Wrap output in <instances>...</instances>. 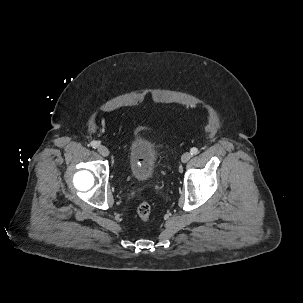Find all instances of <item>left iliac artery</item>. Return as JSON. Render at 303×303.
<instances>
[{
  "label": "left iliac artery",
  "mask_w": 303,
  "mask_h": 303,
  "mask_svg": "<svg viewBox=\"0 0 303 303\" xmlns=\"http://www.w3.org/2000/svg\"><path fill=\"white\" fill-rule=\"evenodd\" d=\"M192 155H196L198 153V149L196 147L191 148L190 150Z\"/></svg>",
  "instance_id": "44dca946"
}]
</instances>
